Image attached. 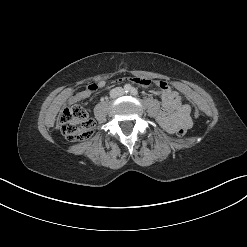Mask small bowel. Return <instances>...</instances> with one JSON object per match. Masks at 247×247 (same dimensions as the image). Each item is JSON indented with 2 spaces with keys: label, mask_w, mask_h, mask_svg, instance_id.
Instances as JSON below:
<instances>
[{
  "label": "small bowel",
  "mask_w": 247,
  "mask_h": 247,
  "mask_svg": "<svg viewBox=\"0 0 247 247\" xmlns=\"http://www.w3.org/2000/svg\"><path fill=\"white\" fill-rule=\"evenodd\" d=\"M131 80L142 87L153 86V91L160 95L162 108L158 115V122L166 132L173 134L178 127L191 128V107L181 101L179 93L173 90L168 83L142 77H134ZM104 86L103 80L92 83L72 98L71 102L89 98L95 90Z\"/></svg>",
  "instance_id": "1"
}]
</instances>
